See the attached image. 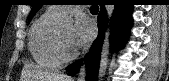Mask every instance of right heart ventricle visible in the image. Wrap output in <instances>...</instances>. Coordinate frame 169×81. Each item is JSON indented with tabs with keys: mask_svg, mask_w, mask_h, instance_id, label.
Wrapping results in <instances>:
<instances>
[{
	"mask_svg": "<svg viewBox=\"0 0 169 81\" xmlns=\"http://www.w3.org/2000/svg\"><path fill=\"white\" fill-rule=\"evenodd\" d=\"M60 16L61 13L49 8L35 21L30 30V53L34 61L45 68H57L61 64L54 41Z\"/></svg>",
	"mask_w": 169,
	"mask_h": 81,
	"instance_id": "obj_1",
	"label": "right heart ventricle"
}]
</instances>
